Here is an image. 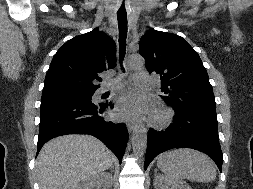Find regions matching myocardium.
<instances>
[{"instance_id": "obj_1", "label": "myocardium", "mask_w": 253, "mask_h": 189, "mask_svg": "<svg viewBox=\"0 0 253 189\" xmlns=\"http://www.w3.org/2000/svg\"><path fill=\"white\" fill-rule=\"evenodd\" d=\"M173 119V111L165 106H160L155 110L151 123L154 127L163 129L168 127L172 123Z\"/></svg>"}]
</instances>
